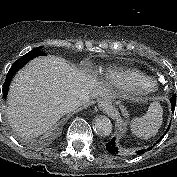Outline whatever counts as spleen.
<instances>
[{
	"instance_id": "spleen-1",
	"label": "spleen",
	"mask_w": 177,
	"mask_h": 177,
	"mask_svg": "<svg viewBox=\"0 0 177 177\" xmlns=\"http://www.w3.org/2000/svg\"><path fill=\"white\" fill-rule=\"evenodd\" d=\"M163 121V109L159 102H152L147 112L131 121V130L134 135L149 139L155 136Z\"/></svg>"
}]
</instances>
